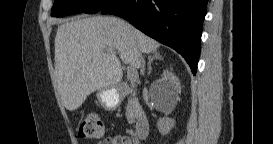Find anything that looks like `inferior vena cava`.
Here are the masks:
<instances>
[{
    "label": "inferior vena cava",
    "mask_w": 273,
    "mask_h": 144,
    "mask_svg": "<svg viewBox=\"0 0 273 144\" xmlns=\"http://www.w3.org/2000/svg\"><path fill=\"white\" fill-rule=\"evenodd\" d=\"M138 60H139L141 74L144 75V73H145V60H144V57L142 56L141 53L138 55Z\"/></svg>",
    "instance_id": "obj_1"
}]
</instances>
